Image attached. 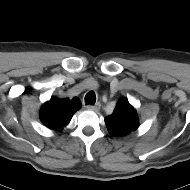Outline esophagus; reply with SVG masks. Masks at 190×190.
I'll return each instance as SVG.
<instances>
[{
	"label": "esophagus",
	"instance_id": "1",
	"mask_svg": "<svg viewBox=\"0 0 190 190\" xmlns=\"http://www.w3.org/2000/svg\"><path fill=\"white\" fill-rule=\"evenodd\" d=\"M100 106H101L100 103H97L96 105H88L86 108L88 110L97 112V111H99Z\"/></svg>",
	"mask_w": 190,
	"mask_h": 190
}]
</instances>
